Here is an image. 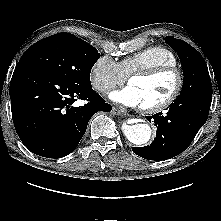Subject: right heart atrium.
I'll use <instances>...</instances> for the list:
<instances>
[{
    "label": "right heart atrium",
    "mask_w": 221,
    "mask_h": 221,
    "mask_svg": "<svg viewBox=\"0 0 221 221\" xmlns=\"http://www.w3.org/2000/svg\"><path fill=\"white\" fill-rule=\"evenodd\" d=\"M126 78L119 63L108 55L99 56L89 71L90 83L99 92H106L116 85L124 83Z\"/></svg>",
    "instance_id": "right-heart-atrium-1"
}]
</instances>
